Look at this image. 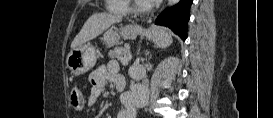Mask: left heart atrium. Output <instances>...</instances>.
I'll return each mask as SVG.
<instances>
[{"label": "left heart atrium", "instance_id": "1", "mask_svg": "<svg viewBox=\"0 0 273 118\" xmlns=\"http://www.w3.org/2000/svg\"><path fill=\"white\" fill-rule=\"evenodd\" d=\"M160 1L161 0H144V3H146L147 5L152 6V5H154V4H156V3L160 2Z\"/></svg>", "mask_w": 273, "mask_h": 118}]
</instances>
